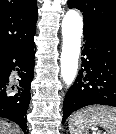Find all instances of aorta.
<instances>
[{
  "label": "aorta",
  "instance_id": "762f6f07",
  "mask_svg": "<svg viewBox=\"0 0 116 134\" xmlns=\"http://www.w3.org/2000/svg\"><path fill=\"white\" fill-rule=\"evenodd\" d=\"M82 31V17L75 10H69L62 20L63 45L60 59L61 75L67 87L77 75Z\"/></svg>",
  "mask_w": 116,
  "mask_h": 134
}]
</instances>
